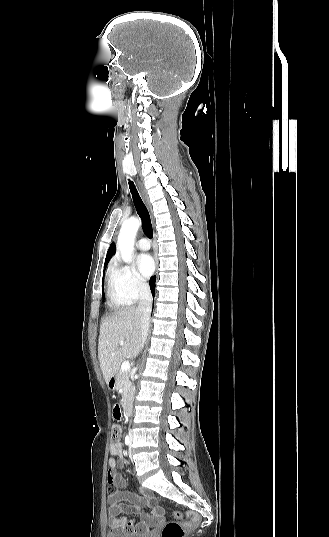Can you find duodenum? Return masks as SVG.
I'll list each match as a JSON object with an SVG mask.
<instances>
[{
	"mask_svg": "<svg viewBox=\"0 0 329 537\" xmlns=\"http://www.w3.org/2000/svg\"><path fill=\"white\" fill-rule=\"evenodd\" d=\"M108 386H109L110 389H114V388L116 387V380H115L114 378L110 379V380H109V383H108ZM122 408H123L125 414H126V415H129V413H130V406H129V404H128L127 402H124V403L122 404Z\"/></svg>",
	"mask_w": 329,
	"mask_h": 537,
	"instance_id": "1",
	"label": "duodenum"
}]
</instances>
